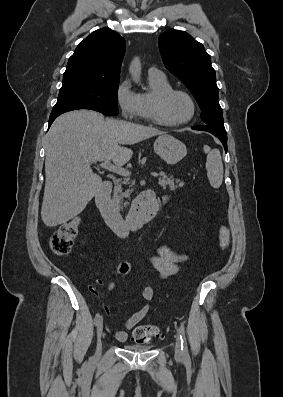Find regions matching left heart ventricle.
Listing matches in <instances>:
<instances>
[{
  "mask_svg": "<svg viewBox=\"0 0 283 397\" xmlns=\"http://www.w3.org/2000/svg\"><path fill=\"white\" fill-rule=\"evenodd\" d=\"M191 113V104L182 94L172 95L164 107V116L168 121L176 122L186 119Z\"/></svg>",
  "mask_w": 283,
  "mask_h": 397,
  "instance_id": "obj_1",
  "label": "left heart ventricle"
}]
</instances>
